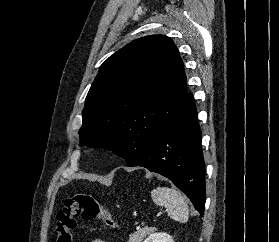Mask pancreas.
Wrapping results in <instances>:
<instances>
[{
	"mask_svg": "<svg viewBox=\"0 0 279 242\" xmlns=\"http://www.w3.org/2000/svg\"><path fill=\"white\" fill-rule=\"evenodd\" d=\"M150 233L149 229H141L129 235L128 242H142V240Z\"/></svg>",
	"mask_w": 279,
	"mask_h": 242,
	"instance_id": "cf45deb5",
	"label": "pancreas"
}]
</instances>
